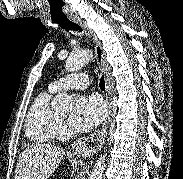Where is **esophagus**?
Listing matches in <instances>:
<instances>
[{"instance_id":"34e87169","label":"esophagus","mask_w":183,"mask_h":179,"mask_svg":"<svg viewBox=\"0 0 183 179\" xmlns=\"http://www.w3.org/2000/svg\"><path fill=\"white\" fill-rule=\"evenodd\" d=\"M76 22L85 30L86 33L93 36L95 42V54L96 60L101 67L102 73L105 76V86H106V101L108 104V114L100 130L90 134L87 137H83L76 141L73 145V149L78 154L90 155L99 150L107 136L108 126L110 123L111 115V95H112V80L110 76V70L108 63L106 61V55L102 48L101 42L97 39L95 33L87 26L86 22L82 20H76Z\"/></svg>"}]
</instances>
